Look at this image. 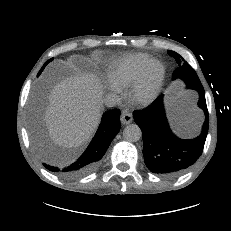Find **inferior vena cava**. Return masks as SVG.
<instances>
[{
    "instance_id": "602c4592",
    "label": "inferior vena cava",
    "mask_w": 231,
    "mask_h": 231,
    "mask_svg": "<svg viewBox=\"0 0 231 231\" xmlns=\"http://www.w3.org/2000/svg\"><path fill=\"white\" fill-rule=\"evenodd\" d=\"M104 103L108 107H113V106L118 105L120 103V98L116 94L109 93V94L105 95V97H104Z\"/></svg>"
}]
</instances>
